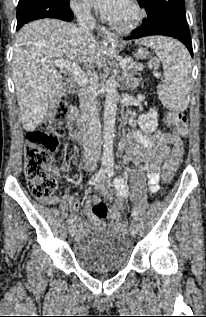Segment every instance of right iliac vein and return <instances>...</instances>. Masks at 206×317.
Wrapping results in <instances>:
<instances>
[{
    "label": "right iliac vein",
    "instance_id": "1",
    "mask_svg": "<svg viewBox=\"0 0 206 317\" xmlns=\"http://www.w3.org/2000/svg\"><path fill=\"white\" fill-rule=\"evenodd\" d=\"M76 232V227L75 225H70L68 228V234L69 236L73 237L75 235Z\"/></svg>",
    "mask_w": 206,
    "mask_h": 317
}]
</instances>
